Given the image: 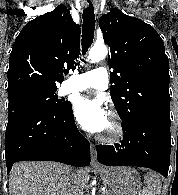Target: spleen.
I'll return each instance as SVG.
<instances>
[{
	"mask_svg": "<svg viewBox=\"0 0 178 195\" xmlns=\"http://www.w3.org/2000/svg\"><path fill=\"white\" fill-rule=\"evenodd\" d=\"M144 183L147 186L148 190H150L151 195L159 194L161 190V179L160 176L155 173H148L144 177Z\"/></svg>",
	"mask_w": 178,
	"mask_h": 195,
	"instance_id": "spleen-1",
	"label": "spleen"
}]
</instances>
